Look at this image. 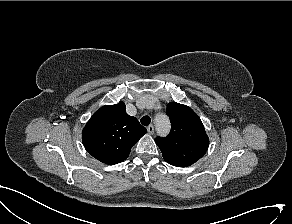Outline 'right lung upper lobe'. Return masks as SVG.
Returning <instances> with one entry per match:
<instances>
[{
	"mask_svg": "<svg viewBox=\"0 0 292 224\" xmlns=\"http://www.w3.org/2000/svg\"><path fill=\"white\" fill-rule=\"evenodd\" d=\"M145 133L146 128L129 116L120 102L105 105L93 114L82 131V142L92 157L112 165L124 161Z\"/></svg>",
	"mask_w": 292,
	"mask_h": 224,
	"instance_id": "1",
	"label": "right lung upper lobe"
}]
</instances>
